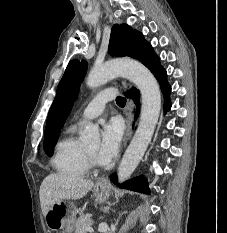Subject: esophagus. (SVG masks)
I'll return each mask as SVG.
<instances>
[{"label": "esophagus", "mask_w": 227, "mask_h": 233, "mask_svg": "<svg viewBox=\"0 0 227 233\" xmlns=\"http://www.w3.org/2000/svg\"><path fill=\"white\" fill-rule=\"evenodd\" d=\"M122 86L123 88H126V82L122 81ZM134 107V103L132 100H127L126 103V107L124 110V115L128 116L127 120H126V132H125V139H124V145H126V143L128 142V140L131 138L132 134H133V126H132V117H131V112L133 110ZM106 184L105 181L101 180L98 182V186L99 185H104Z\"/></svg>", "instance_id": "1"}]
</instances>
